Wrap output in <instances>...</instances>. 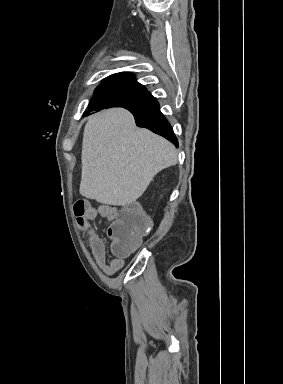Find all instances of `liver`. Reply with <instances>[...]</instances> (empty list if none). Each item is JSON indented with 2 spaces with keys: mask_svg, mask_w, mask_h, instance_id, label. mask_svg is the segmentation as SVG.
<instances>
[{
  "mask_svg": "<svg viewBox=\"0 0 283 384\" xmlns=\"http://www.w3.org/2000/svg\"><path fill=\"white\" fill-rule=\"evenodd\" d=\"M178 154L171 142L136 128L124 108L90 116L83 134L79 192L109 206L133 204L154 176L175 166Z\"/></svg>",
  "mask_w": 283,
  "mask_h": 384,
  "instance_id": "6515ba94",
  "label": "liver"
}]
</instances>
